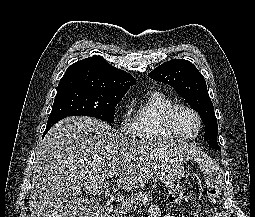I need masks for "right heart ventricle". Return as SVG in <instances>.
<instances>
[{"label": "right heart ventricle", "instance_id": "1", "mask_svg": "<svg viewBox=\"0 0 255 217\" xmlns=\"http://www.w3.org/2000/svg\"><path fill=\"white\" fill-rule=\"evenodd\" d=\"M174 101L161 91H152L137 106L134 117V135L145 141L173 140L166 128L164 114Z\"/></svg>", "mask_w": 255, "mask_h": 217}]
</instances>
